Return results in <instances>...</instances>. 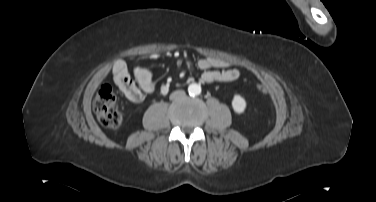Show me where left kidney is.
Here are the masks:
<instances>
[{
	"label": "left kidney",
	"instance_id": "left-kidney-1",
	"mask_svg": "<svg viewBox=\"0 0 376 202\" xmlns=\"http://www.w3.org/2000/svg\"><path fill=\"white\" fill-rule=\"evenodd\" d=\"M232 107L238 114L243 113L246 108V101L240 95H235L232 100Z\"/></svg>",
	"mask_w": 376,
	"mask_h": 202
}]
</instances>
